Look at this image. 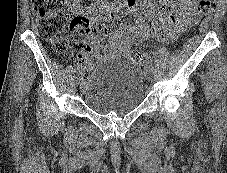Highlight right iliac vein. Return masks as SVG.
I'll return each instance as SVG.
<instances>
[{
    "label": "right iliac vein",
    "instance_id": "obj_1",
    "mask_svg": "<svg viewBox=\"0 0 227 173\" xmlns=\"http://www.w3.org/2000/svg\"><path fill=\"white\" fill-rule=\"evenodd\" d=\"M80 80H81V75H80V72H78L77 75H76V78H75L76 84H79Z\"/></svg>",
    "mask_w": 227,
    "mask_h": 173
}]
</instances>
